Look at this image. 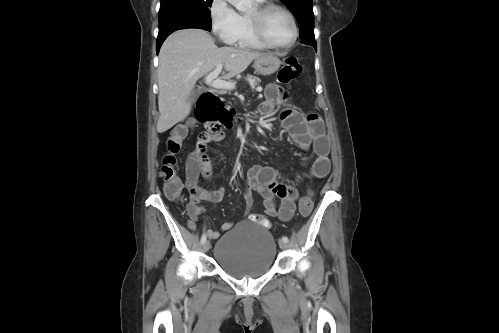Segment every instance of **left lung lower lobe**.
<instances>
[{"label": "left lung lower lobe", "mask_w": 499, "mask_h": 333, "mask_svg": "<svg viewBox=\"0 0 499 333\" xmlns=\"http://www.w3.org/2000/svg\"><path fill=\"white\" fill-rule=\"evenodd\" d=\"M301 43L311 45L316 50V42L314 41V39H302Z\"/></svg>", "instance_id": "left-lung-lower-lobe-1"}]
</instances>
